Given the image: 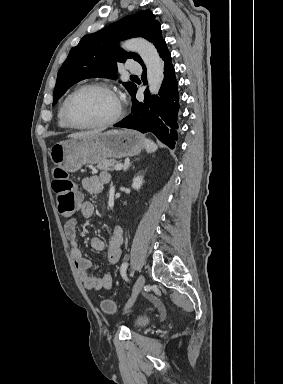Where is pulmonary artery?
Segmentation results:
<instances>
[{"instance_id":"1","label":"pulmonary artery","mask_w":283,"mask_h":384,"mask_svg":"<svg viewBox=\"0 0 283 384\" xmlns=\"http://www.w3.org/2000/svg\"><path fill=\"white\" fill-rule=\"evenodd\" d=\"M127 71H132L133 75L141 74V65L137 61H128L126 65Z\"/></svg>"}]
</instances>
